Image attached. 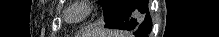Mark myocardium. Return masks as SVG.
Returning <instances> with one entry per match:
<instances>
[{
	"mask_svg": "<svg viewBox=\"0 0 219 37\" xmlns=\"http://www.w3.org/2000/svg\"><path fill=\"white\" fill-rule=\"evenodd\" d=\"M79 8L81 10V14L77 17H72L71 12ZM92 12V7L89 1H74L66 11V19L71 23H79L85 20Z\"/></svg>",
	"mask_w": 219,
	"mask_h": 37,
	"instance_id": "f54148a6",
	"label": "myocardium"
}]
</instances>
